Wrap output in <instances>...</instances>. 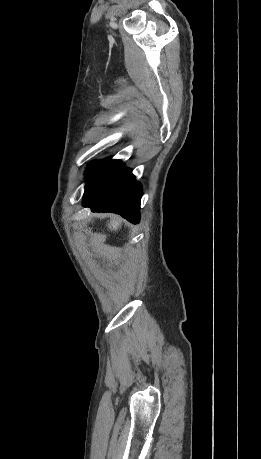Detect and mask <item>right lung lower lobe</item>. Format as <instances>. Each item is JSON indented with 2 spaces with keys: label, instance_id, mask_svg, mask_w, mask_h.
Segmentation results:
<instances>
[{
  "label": "right lung lower lobe",
  "instance_id": "1",
  "mask_svg": "<svg viewBox=\"0 0 261 459\" xmlns=\"http://www.w3.org/2000/svg\"><path fill=\"white\" fill-rule=\"evenodd\" d=\"M142 187L136 182L131 170L122 165L106 179L89 197L83 206L93 212H114L127 220L138 223Z\"/></svg>",
  "mask_w": 261,
  "mask_h": 459
}]
</instances>
